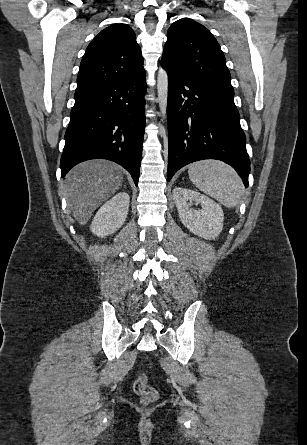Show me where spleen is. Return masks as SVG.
Returning <instances> with one entry per match:
<instances>
[{
  "label": "spleen",
  "instance_id": "spleen-1",
  "mask_svg": "<svg viewBox=\"0 0 307 445\" xmlns=\"http://www.w3.org/2000/svg\"><path fill=\"white\" fill-rule=\"evenodd\" d=\"M188 174L193 184L219 200L224 206H237L243 184L236 170L221 160H198L188 166Z\"/></svg>",
  "mask_w": 307,
  "mask_h": 445
}]
</instances>
